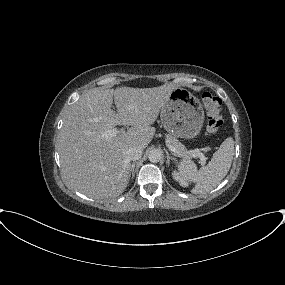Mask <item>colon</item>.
Returning <instances> with one entry per match:
<instances>
[{"label": "colon", "mask_w": 285, "mask_h": 285, "mask_svg": "<svg viewBox=\"0 0 285 285\" xmlns=\"http://www.w3.org/2000/svg\"><path fill=\"white\" fill-rule=\"evenodd\" d=\"M202 103L207 117L205 133L212 136L220 130L223 123L222 102L214 94L205 92L202 95Z\"/></svg>", "instance_id": "5ec220e1"}]
</instances>
